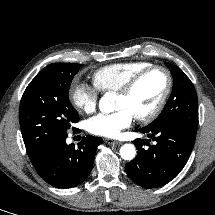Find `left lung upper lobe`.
<instances>
[{
    "instance_id": "1",
    "label": "left lung upper lobe",
    "mask_w": 215,
    "mask_h": 215,
    "mask_svg": "<svg viewBox=\"0 0 215 215\" xmlns=\"http://www.w3.org/2000/svg\"><path fill=\"white\" fill-rule=\"evenodd\" d=\"M173 76V90L162 113L148 126L178 123L198 128V99L195 87L178 67L166 63Z\"/></svg>"
}]
</instances>
